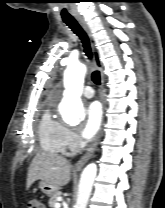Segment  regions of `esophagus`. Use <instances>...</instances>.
Listing matches in <instances>:
<instances>
[{
  "mask_svg": "<svg viewBox=\"0 0 165 208\" xmlns=\"http://www.w3.org/2000/svg\"><path fill=\"white\" fill-rule=\"evenodd\" d=\"M79 22L82 25V27L84 28V30L86 31L87 35H88L90 45H91V48H92V51H93L94 64H95L96 68L101 72V101H102V104H103V108L105 109L106 108V102H105V98H104L105 78H104V75L102 73L103 65H102V62L100 60L99 52L96 48L95 40H94L93 34H92L89 26L83 20H79ZM101 135H102V130L99 131V133L97 134L93 143L87 149L86 153L76 162L75 167H74L76 170H80L88 162V160L93 156V154L95 153V151L97 149V146H98L99 140L101 138Z\"/></svg>",
  "mask_w": 165,
  "mask_h": 208,
  "instance_id": "obj_1",
  "label": "esophagus"
}]
</instances>
